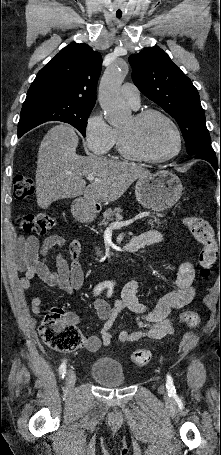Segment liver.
<instances>
[{
  "instance_id": "6515ba94",
  "label": "liver",
  "mask_w": 221,
  "mask_h": 455,
  "mask_svg": "<svg viewBox=\"0 0 221 455\" xmlns=\"http://www.w3.org/2000/svg\"><path fill=\"white\" fill-rule=\"evenodd\" d=\"M78 143L75 129L63 123L52 127L41 141L35 176L40 208L47 209L57 200L82 195L92 203L115 201L135 180L151 174L135 164L78 155ZM87 174L100 181L86 186L83 177Z\"/></svg>"
}]
</instances>
